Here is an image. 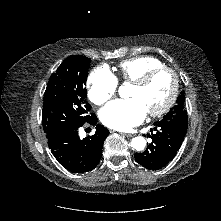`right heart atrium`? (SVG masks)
<instances>
[{
	"instance_id": "d8ad5b80",
	"label": "right heart atrium",
	"mask_w": 221,
	"mask_h": 221,
	"mask_svg": "<svg viewBox=\"0 0 221 221\" xmlns=\"http://www.w3.org/2000/svg\"><path fill=\"white\" fill-rule=\"evenodd\" d=\"M87 85L90 101L102 105L115 95L118 81L108 68L99 66L89 74Z\"/></svg>"
}]
</instances>
